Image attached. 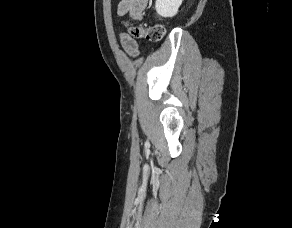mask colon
Listing matches in <instances>:
<instances>
[{
  "label": "colon",
  "instance_id": "5ec220e1",
  "mask_svg": "<svg viewBox=\"0 0 292 228\" xmlns=\"http://www.w3.org/2000/svg\"><path fill=\"white\" fill-rule=\"evenodd\" d=\"M129 32L135 38H144L151 42H158L164 37L165 28L162 25L148 27L133 26L129 29Z\"/></svg>",
  "mask_w": 292,
  "mask_h": 228
}]
</instances>
